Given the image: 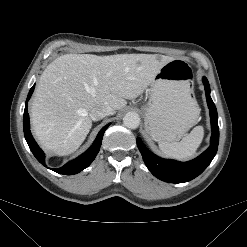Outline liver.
<instances>
[{
    "mask_svg": "<svg viewBox=\"0 0 247 247\" xmlns=\"http://www.w3.org/2000/svg\"><path fill=\"white\" fill-rule=\"evenodd\" d=\"M173 57L156 54H66L43 71L31 104L41 147L58 156L75 152L89 133V112L99 105L123 109Z\"/></svg>",
    "mask_w": 247,
    "mask_h": 247,
    "instance_id": "obj_1",
    "label": "liver"
}]
</instances>
